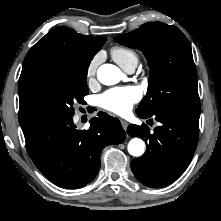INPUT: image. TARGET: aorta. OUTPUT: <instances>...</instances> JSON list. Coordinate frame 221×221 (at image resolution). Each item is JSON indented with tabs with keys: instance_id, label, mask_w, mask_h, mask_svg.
Returning <instances> with one entry per match:
<instances>
[{
	"instance_id": "obj_1",
	"label": "aorta",
	"mask_w": 221,
	"mask_h": 221,
	"mask_svg": "<svg viewBox=\"0 0 221 221\" xmlns=\"http://www.w3.org/2000/svg\"><path fill=\"white\" fill-rule=\"evenodd\" d=\"M98 80L104 85H114L121 79L120 69L112 64H103L97 71ZM145 143L140 138H133L128 143V152L130 155L139 157L144 153Z\"/></svg>"
}]
</instances>
